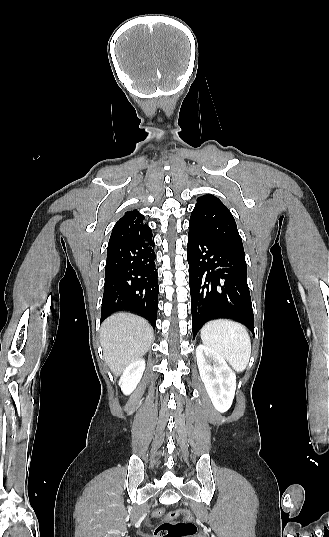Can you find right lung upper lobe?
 <instances>
[{"mask_svg":"<svg viewBox=\"0 0 329 537\" xmlns=\"http://www.w3.org/2000/svg\"><path fill=\"white\" fill-rule=\"evenodd\" d=\"M143 220L144 216L137 210L126 212L114 226L109 244L129 240L150 230L149 226L143 223Z\"/></svg>","mask_w":329,"mask_h":537,"instance_id":"right-lung-upper-lobe-1","label":"right lung upper lobe"}]
</instances>
